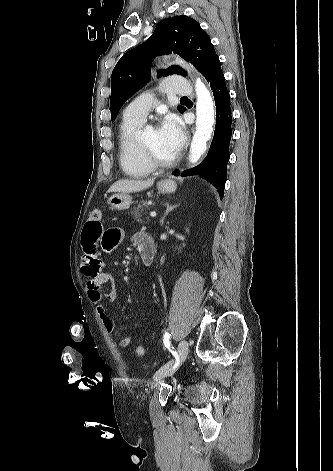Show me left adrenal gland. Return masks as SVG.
<instances>
[{
  "label": "left adrenal gland",
  "mask_w": 333,
  "mask_h": 471,
  "mask_svg": "<svg viewBox=\"0 0 333 471\" xmlns=\"http://www.w3.org/2000/svg\"><path fill=\"white\" fill-rule=\"evenodd\" d=\"M179 204H176V205H170L169 202L166 203V211L164 213V216L161 218L160 220V223H161V226L164 224V220L166 218V216L168 215L169 212H171L172 210H174Z\"/></svg>",
  "instance_id": "left-adrenal-gland-1"
}]
</instances>
